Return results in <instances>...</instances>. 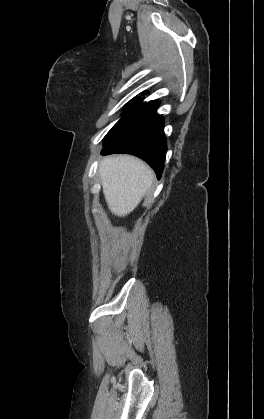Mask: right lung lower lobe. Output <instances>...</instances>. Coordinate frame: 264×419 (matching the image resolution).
I'll list each match as a JSON object with an SVG mask.
<instances>
[{
  "label": "right lung lower lobe",
  "instance_id": "1",
  "mask_svg": "<svg viewBox=\"0 0 264 419\" xmlns=\"http://www.w3.org/2000/svg\"><path fill=\"white\" fill-rule=\"evenodd\" d=\"M159 101L146 103L135 122L120 136L104 145L101 154L127 153L146 161L161 177L166 157L164 119L156 113Z\"/></svg>",
  "mask_w": 264,
  "mask_h": 419
}]
</instances>
